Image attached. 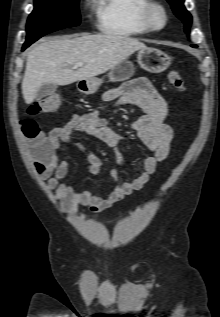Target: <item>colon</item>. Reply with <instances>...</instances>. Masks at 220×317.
Returning a JSON list of instances; mask_svg holds the SVG:
<instances>
[{"instance_id": "colon-1", "label": "colon", "mask_w": 220, "mask_h": 317, "mask_svg": "<svg viewBox=\"0 0 220 317\" xmlns=\"http://www.w3.org/2000/svg\"><path fill=\"white\" fill-rule=\"evenodd\" d=\"M168 81L177 90L181 92L185 90L184 81L177 71L172 70L168 73ZM60 105L61 99L58 95H47L33 104L29 108L27 116L21 118L19 122L21 132L35 159L37 169L44 168L52 162L55 149L51 138L41 130L34 117L39 114L55 112Z\"/></svg>"}]
</instances>
